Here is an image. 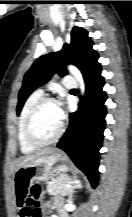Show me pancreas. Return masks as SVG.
Here are the masks:
<instances>
[{"mask_svg":"<svg viewBox=\"0 0 132 217\" xmlns=\"http://www.w3.org/2000/svg\"><path fill=\"white\" fill-rule=\"evenodd\" d=\"M71 181L72 180L68 175L61 174L47 184V192L54 196H65L70 192V188H66V185L70 184Z\"/></svg>","mask_w":132,"mask_h":217,"instance_id":"pancreas-1","label":"pancreas"}]
</instances>
